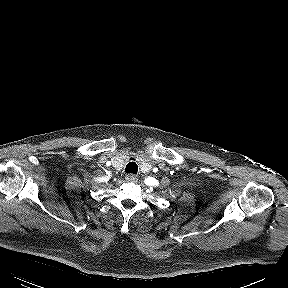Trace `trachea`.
I'll list each match as a JSON object with an SVG mask.
<instances>
[{"mask_svg":"<svg viewBox=\"0 0 288 288\" xmlns=\"http://www.w3.org/2000/svg\"><path fill=\"white\" fill-rule=\"evenodd\" d=\"M125 171H126V173L136 174L137 171H138V165H137L135 162L130 161V162H128V164L126 165Z\"/></svg>","mask_w":288,"mask_h":288,"instance_id":"obj_1","label":"trachea"}]
</instances>
